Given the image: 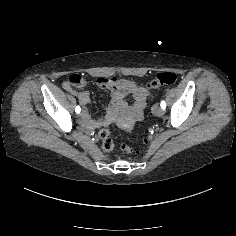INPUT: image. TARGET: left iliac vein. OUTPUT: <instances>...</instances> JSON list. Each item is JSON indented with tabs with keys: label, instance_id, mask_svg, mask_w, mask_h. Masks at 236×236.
Returning <instances> with one entry per match:
<instances>
[{
	"label": "left iliac vein",
	"instance_id": "obj_1",
	"mask_svg": "<svg viewBox=\"0 0 236 236\" xmlns=\"http://www.w3.org/2000/svg\"><path fill=\"white\" fill-rule=\"evenodd\" d=\"M152 113L156 116H161L164 113V109L157 105H154L152 108Z\"/></svg>",
	"mask_w": 236,
	"mask_h": 236
}]
</instances>
